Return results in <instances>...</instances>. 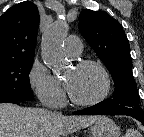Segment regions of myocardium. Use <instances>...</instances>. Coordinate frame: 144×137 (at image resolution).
Returning <instances> with one entry per match:
<instances>
[{"mask_svg": "<svg viewBox=\"0 0 144 137\" xmlns=\"http://www.w3.org/2000/svg\"><path fill=\"white\" fill-rule=\"evenodd\" d=\"M74 67L75 68L93 67L97 69L102 74L104 80V87L101 94L98 97L87 101L76 99L68 90V98L70 102L76 106H81V107H92L102 103L108 97L111 90V77L107 68L101 62L96 60H90V59L80 60L75 64Z\"/></svg>", "mask_w": 144, "mask_h": 137, "instance_id": "myocardium-1", "label": "myocardium"}]
</instances>
